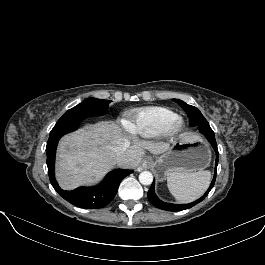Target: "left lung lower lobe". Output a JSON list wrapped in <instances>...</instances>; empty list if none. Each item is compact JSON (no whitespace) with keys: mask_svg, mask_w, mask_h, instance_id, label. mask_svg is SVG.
Returning <instances> with one entry per match:
<instances>
[{"mask_svg":"<svg viewBox=\"0 0 265 265\" xmlns=\"http://www.w3.org/2000/svg\"><path fill=\"white\" fill-rule=\"evenodd\" d=\"M197 128L199 129V131L205 135V137L208 139V141L211 143V145L214 147V150L216 152V163H215V173H214V177L213 180L208 188V190L206 191V193L199 198L198 200L189 203V204H170V203H165L161 200L158 199V197L155 194L154 191V186H155V182L152 183L147 196L149 201L156 207L163 209V210H167V211H180V210H184V209H188L193 207L194 205L198 204L199 202H201L209 193V191L212 189V187L214 186L215 183V179H216V168L218 165V149H217V143L215 140V135L213 130L211 129L210 125L208 123H204V124H199L197 125Z\"/></svg>","mask_w":265,"mask_h":265,"instance_id":"0a47b994","label":"left lung lower lobe"}]
</instances>
